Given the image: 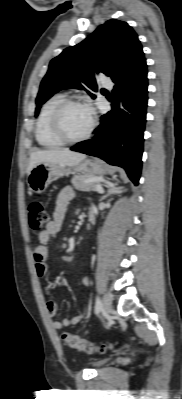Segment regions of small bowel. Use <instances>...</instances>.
<instances>
[{"label":"small bowel","instance_id":"obj_1","mask_svg":"<svg viewBox=\"0 0 182 399\" xmlns=\"http://www.w3.org/2000/svg\"><path fill=\"white\" fill-rule=\"evenodd\" d=\"M75 197V190L72 187L63 188L57 195L52 211V218L49 221L45 230L38 234L39 244L34 250V260L36 273L39 277H45L48 274V256H49V242L55 237L62 229L67 207L70 201ZM82 283L89 286V280L84 278ZM47 311L51 318H53L52 326L55 329H63L71 325H75L85 319L87 310L84 307L80 313L73 317H67L63 320L54 319L57 315V304L53 300L47 302Z\"/></svg>","mask_w":182,"mask_h":399}]
</instances>
